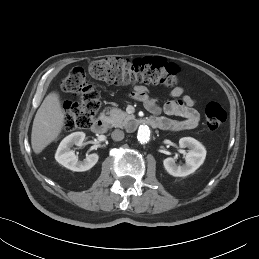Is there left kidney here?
<instances>
[{
  "label": "left kidney",
  "mask_w": 259,
  "mask_h": 259,
  "mask_svg": "<svg viewBox=\"0 0 259 259\" xmlns=\"http://www.w3.org/2000/svg\"><path fill=\"white\" fill-rule=\"evenodd\" d=\"M180 148H188L185 155V164L177 165L173 158H166L163 161L166 171L174 177H185L194 173L204 162L206 149L192 137H183L179 140Z\"/></svg>",
  "instance_id": "5707ae66"
}]
</instances>
